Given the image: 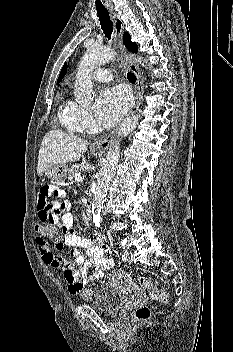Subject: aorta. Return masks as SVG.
I'll return each mask as SVG.
<instances>
[{
	"mask_svg": "<svg viewBox=\"0 0 233 352\" xmlns=\"http://www.w3.org/2000/svg\"><path fill=\"white\" fill-rule=\"evenodd\" d=\"M115 52L107 47H91L82 57L74 85V96L77 102L81 104H90L94 98L93 82L91 79L92 71L103 63L114 58ZM143 67H147L142 63L141 57L131 56ZM139 116H131L126 118L120 125L116 141L110 146L104 165L99 172L97 186L94 192L92 202V216L95 227L100 228L101 210L109 189L110 182L114 177L116 167L120 158V138L126 137L137 126Z\"/></svg>",
	"mask_w": 233,
	"mask_h": 352,
	"instance_id": "1",
	"label": "aorta"
}]
</instances>
